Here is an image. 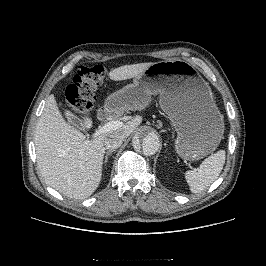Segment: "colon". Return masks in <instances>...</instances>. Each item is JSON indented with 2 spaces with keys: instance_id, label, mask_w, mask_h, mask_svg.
Instances as JSON below:
<instances>
[{
  "instance_id": "1",
  "label": "colon",
  "mask_w": 266,
  "mask_h": 266,
  "mask_svg": "<svg viewBox=\"0 0 266 266\" xmlns=\"http://www.w3.org/2000/svg\"><path fill=\"white\" fill-rule=\"evenodd\" d=\"M106 70L100 65H80L72 82L67 86L65 98L68 105L77 113L90 111L97 88L105 78Z\"/></svg>"
}]
</instances>
